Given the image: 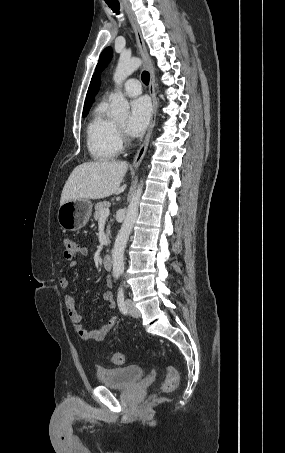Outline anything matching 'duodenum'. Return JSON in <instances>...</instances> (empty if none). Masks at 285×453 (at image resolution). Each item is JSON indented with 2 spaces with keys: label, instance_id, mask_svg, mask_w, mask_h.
<instances>
[{
  "label": "duodenum",
  "instance_id": "duodenum-1",
  "mask_svg": "<svg viewBox=\"0 0 285 453\" xmlns=\"http://www.w3.org/2000/svg\"><path fill=\"white\" fill-rule=\"evenodd\" d=\"M103 265L106 269H111L112 268V257L109 254H105L103 256Z\"/></svg>",
  "mask_w": 285,
  "mask_h": 453
}]
</instances>
